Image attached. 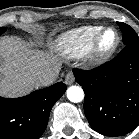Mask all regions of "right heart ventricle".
Returning a JSON list of instances; mask_svg holds the SVG:
<instances>
[{
	"instance_id": "right-heart-ventricle-1",
	"label": "right heart ventricle",
	"mask_w": 139,
	"mask_h": 139,
	"mask_svg": "<svg viewBox=\"0 0 139 139\" xmlns=\"http://www.w3.org/2000/svg\"><path fill=\"white\" fill-rule=\"evenodd\" d=\"M99 25H88L72 29L55 41V49L68 58H79L87 54L96 34L102 29Z\"/></svg>"
}]
</instances>
